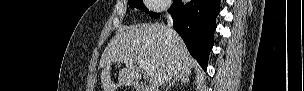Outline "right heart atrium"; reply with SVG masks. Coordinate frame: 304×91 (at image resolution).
Segmentation results:
<instances>
[{"mask_svg": "<svg viewBox=\"0 0 304 91\" xmlns=\"http://www.w3.org/2000/svg\"><path fill=\"white\" fill-rule=\"evenodd\" d=\"M146 4L151 11L155 12L165 10L168 5L166 0H148Z\"/></svg>", "mask_w": 304, "mask_h": 91, "instance_id": "d8ad5b80", "label": "right heart atrium"}]
</instances>
